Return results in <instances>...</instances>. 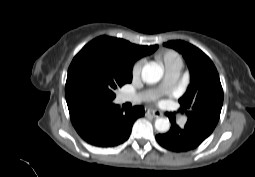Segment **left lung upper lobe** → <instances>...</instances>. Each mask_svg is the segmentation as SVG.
I'll return each instance as SVG.
<instances>
[{"label": "left lung upper lobe", "mask_w": 255, "mask_h": 177, "mask_svg": "<svg viewBox=\"0 0 255 177\" xmlns=\"http://www.w3.org/2000/svg\"><path fill=\"white\" fill-rule=\"evenodd\" d=\"M164 46L181 53L190 70V84L179 99L181 111L188 116L187 123L212 133L223 104V89L216 67L205 53L187 42L169 41Z\"/></svg>", "instance_id": "obj_1"}]
</instances>
